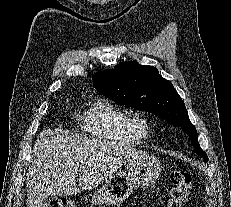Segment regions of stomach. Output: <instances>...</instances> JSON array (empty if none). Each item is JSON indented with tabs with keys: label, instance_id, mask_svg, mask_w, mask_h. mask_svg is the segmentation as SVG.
<instances>
[{
	"label": "stomach",
	"instance_id": "stomach-1",
	"mask_svg": "<svg viewBox=\"0 0 231 207\" xmlns=\"http://www.w3.org/2000/svg\"><path fill=\"white\" fill-rule=\"evenodd\" d=\"M162 165L158 158L149 154H139L129 160L127 173L117 172L108 178L102 188L92 196L95 206H119L134 188L147 187L159 177Z\"/></svg>",
	"mask_w": 231,
	"mask_h": 207
}]
</instances>
